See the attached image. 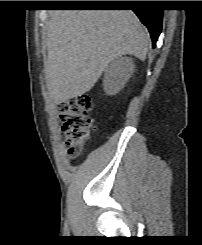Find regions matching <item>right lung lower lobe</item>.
Instances as JSON below:
<instances>
[{"label": "right lung lower lobe", "mask_w": 202, "mask_h": 245, "mask_svg": "<svg viewBox=\"0 0 202 245\" xmlns=\"http://www.w3.org/2000/svg\"><path fill=\"white\" fill-rule=\"evenodd\" d=\"M82 5L95 7L122 6L120 4L107 3H83ZM132 5H134L133 11L139 17L140 21L148 28L154 48L162 28L163 10L145 7L147 5L146 1H134Z\"/></svg>", "instance_id": "98d812e1"}]
</instances>
